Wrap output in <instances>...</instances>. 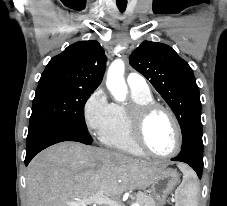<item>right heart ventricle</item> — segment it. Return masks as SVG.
Wrapping results in <instances>:
<instances>
[{
  "mask_svg": "<svg viewBox=\"0 0 227 206\" xmlns=\"http://www.w3.org/2000/svg\"><path fill=\"white\" fill-rule=\"evenodd\" d=\"M153 101L150 91L146 93L131 91V105ZM127 110L128 108L123 105L113 104L112 121L108 129L101 135V141L115 150L134 156H145L146 154L132 140Z\"/></svg>",
  "mask_w": 227,
  "mask_h": 206,
  "instance_id": "right-heart-ventricle-1",
  "label": "right heart ventricle"
}]
</instances>
